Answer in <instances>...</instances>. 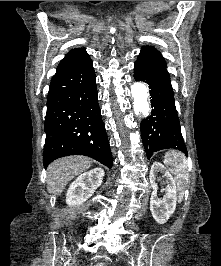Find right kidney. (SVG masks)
<instances>
[{
    "mask_svg": "<svg viewBox=\"0 0 221 266\" xmlns=\"http://www.w3.org/2000/svg\"><path fill=\"white\" fill-rule=\"evenodd\" d=\"M104 175L103 169L95 168L77 177L66 193L67 205L79 206L89 199L101 185Z\"/></svg>",
    "mask_w": 221,
    "mask_h": 266,
    "instance_id": "obj_1",
    "label": "right kidney"
}]
</instances>
